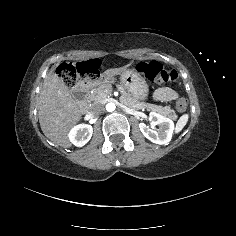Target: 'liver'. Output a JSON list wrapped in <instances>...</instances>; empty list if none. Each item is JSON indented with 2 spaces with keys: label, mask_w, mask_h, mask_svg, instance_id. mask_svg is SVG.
Segmentation results:
<instances>
[{
  "label": "liver",
  "mask_w": 236,
  "mask_h": 236,
  "mask_svg": "<svg viewBox=\"0 0 236 236\" xmlns=\"http://www.w3.org/2000/svg\"><path fill=\"white\" fill-rule=\"evenodd\" d=\"M129 63L104 70L103 77H115L127 70ZM39 123L43 134L55 144L71 148L70 132L83 119L80 103L71 96L70 89L62 82L51 67L37 101Z\"/></svg>",
  "instance_id": "liver-1"
}]
</instances>
